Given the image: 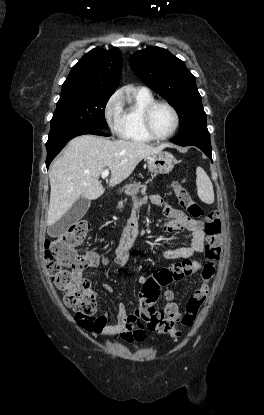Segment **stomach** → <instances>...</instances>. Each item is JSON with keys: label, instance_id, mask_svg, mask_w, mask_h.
Returning a JSON list of instances; mask_svg holds the SVG:
<instances>
[{"label": "stomach", "instance_id": "1", "mask_svg": "<svg viewBox=\"0 0 264 415\" xmlns=\"http://www.w3.org/2000/svg\"><path fill=\"white\" fill-rule=\"evenodd\" d=\"M175 162L174 156L167 151H161L147 157L148 169L154 174H168L174 168ZM140 187L139 184H131L127 186L125 192L128 195H134Z\"/></svg>", "mask_w": 264, "mask_h": 415}]
</instances>
